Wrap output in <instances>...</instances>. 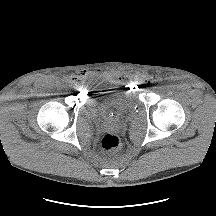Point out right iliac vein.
I'll use <instances>...</instances> for the list:
<instances>
[{
    "label": "right iliac vein",
    "instance_id": "1",
    "mask_svg": "<svg viewBox=\"0 0 216 216\" xmlns=\"http://www.w3.org/2000/svg\"><path fill=\"white\" fill-rule=\"evenodd\" d=\"M73 84V83H72ZM70 87V86H69ZM70 88H72V90H77V85H72Z\"/></svg>",
    "mask_w": 216,
    "mask_h": 216
}]
</instances>
